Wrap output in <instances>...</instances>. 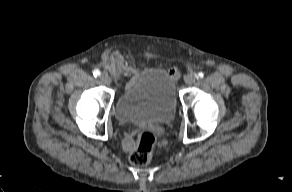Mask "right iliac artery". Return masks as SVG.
Masks as SVG:
<instances>
[{
    "label": "right iliac artery",
    "instance_id": "obj_1",
    "mask_svg": "<svg viewBox=\"0 0 292 192\" xmlns=\"http://www.w3.org/2000/svg\"><path fill=\"white\" fill-rule=\"evenodd\" d=\"M93 74H94L95 77H98V76H100L101 73H100V71L98 69H95Z\"/></svg>",
    "mask_w": 292,
    "mask_h": 192
}]
</instances>
